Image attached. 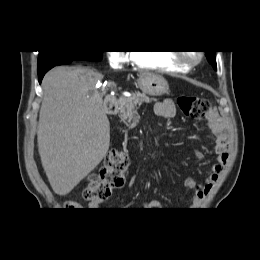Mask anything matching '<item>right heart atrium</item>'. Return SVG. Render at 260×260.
Listing matches in <instances>:
<instances>
[{"mask_svg": "<svg viewBox=\"0 0 260 260\" xmlns=\"http://www.w3.org/2000/svg\"><path fill=\"white\" fill-rule=\"evenodd\" d=\"M108 60L111 66L120 68L131 60V55L122 51H111L108 53Z\"/></svg>", "mask_w": 260, "mask_h": 260, "instance_id": "1", "label": "right heart atrium"}]
</instances>
